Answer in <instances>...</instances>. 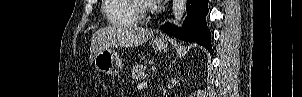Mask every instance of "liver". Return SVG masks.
Wrapping results in <instances>:
<instances>
[{
	"mask_svg": "<svg viewBox=\"0 0 302 97\" xmlns=\"http://www.w3.org/2000/svg\"><path fill=\"white\" fill-rule=\"evenodd\" d=\"M153 36V31L135 25H115L97 30L91 41L90 58L93 61L96 52L105 47H136Z\"/></svg>",
	"mask_w": 302,
	"mask_h": 97,
	"instance_id": "liver-1",
	"label": "liver"
}]
</instances>
